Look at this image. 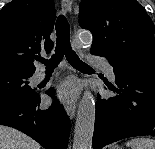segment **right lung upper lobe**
I'll use <instances>...</instances> for the list:
<instances>
[{"instance_id":"1","label":"right lung upper lobe","mask_w":155,"mask_h":149,"mask_svg":"<svg viewBox=\"0 0 155 149\" xmlns=\"http://www.w3.org/2000/svg\"><path fill=\"white\" fill-rule=\"evenodd\" d=\"M54 0H12L0 10V67L33 74L37 53L53 48Z\"/></svg>"}]
</instances>
